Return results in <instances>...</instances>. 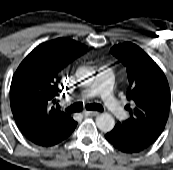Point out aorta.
Returning <instances> with one entry per match:
<instances>
[{"label":"aorta","instance_id":"aorta-1","mask_svg":"<svg viewBox=\"0 0 173 170\" xmlns=\"http://www.w3.org/2000/svg\"><path fill=\"white\" fill-rule=\"evenodd\" d=\"M91 75V72L88 69H81L78 72V77L80 79L88 78ZM91 79H88L86 82H90ZM96 125L103 132L111 131L115 126L114 118L108 113H102L96 117Z\"/></svg>","mask_w":173,"mask_h":170}]
</instances>
